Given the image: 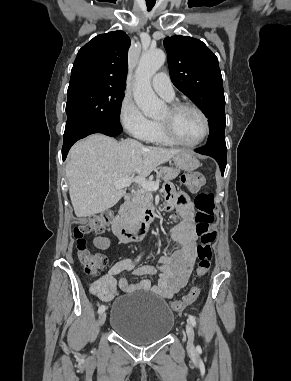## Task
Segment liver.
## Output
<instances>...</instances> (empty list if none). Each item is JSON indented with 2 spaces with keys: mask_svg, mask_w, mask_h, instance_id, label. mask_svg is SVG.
<instances>
[{
  "mask_svg": "<svg viewBox=\"0 0 291 381\" xmlns=\"http://www.w3.org/2000/svg\"><path fill=\"white\" fill-rule=\"evenodd\" d=\"M181 152L184 150L144 146L134 139L117 142L102 134L77 142L66 165L75 215L86 218L108 210L126 193L116 188L114 181L133 174L145 178Z\"/></svg>",
  "mask_w": 291,
  "mask_h": 381,
  "instance_id": "1",
  "label": "liver"
}]
</instances>
